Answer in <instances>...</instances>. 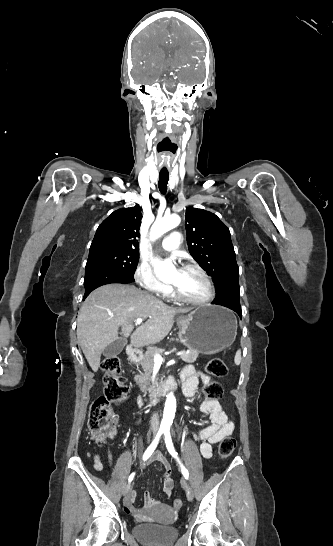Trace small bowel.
Listing matches in <instances>:
<instances>
[{
  "mask_svg": "<svg viewBox=\"0 0 333 546\" xmlns=\"http://www.w3.org/2000/svg\"><path fill=\"white\" fill-rule=\"evenodd\" d=\"M183 392L187 397H193L196 393L197 386L201 381L204 384L212 382V378L201 371L196 370L192 366L184 368L181 374ZM138 405L142 407L144 400L142 397L138 398ZM201 411L210 417L211 423L195 432H192L193 438L200 442V452L204 458H211L213 455V445L220 442L224 437L231 435L234 431V422L228 416V414L222 409L221 404L217 400H205L201 404ZM95 469L101 471L103 464L100 461L98 455L94 456ZM109 465L113 464V456L110 453L108 455ZM151 463H158L164 470L163 490L166 495H170L174 488V481L170 476V464L166 457L160 453L155 452L151 458ZM135 492L131 491L125 498L124 510L128 514H133L137 522H149L151 521L154 513L156 512H168L170 509L161 501L153 498L149 492L144 494L145 508L137 509L134 507Z\"/></svg>",
  "mask_w": 333,
  "mask_h": 546,
  "instance_id": "c3829d8e",
  "label": "small bowel"
}]
</instances>
